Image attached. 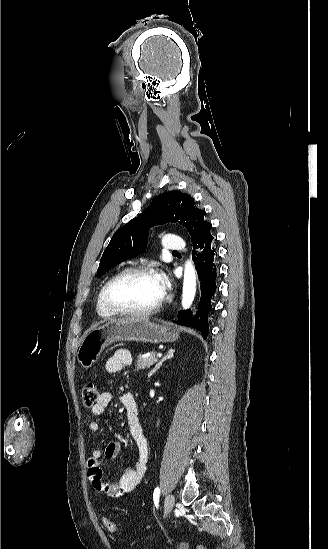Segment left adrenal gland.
Listing matches in <instances>:
<instances>
[{"label":"left adrenal gland","mask_w":328,"mask_h":549,"mask_svg":"<svg viewBox=\"0 0 328 549\" xmlns=\"http://www.w3.org/2000/svg\"><path fill=\"white\" fill-rule=\"evenodd\" d=\"M174 353H175V349H169L166 357H163L162 361H160V363H158V365H156L155 369H153V371H151V375H153V373H156V371H158V369H160V367H162V363H164V361H166V359H172Z\"/></svg>","instance_id":"a2214340"}]
</instances>
